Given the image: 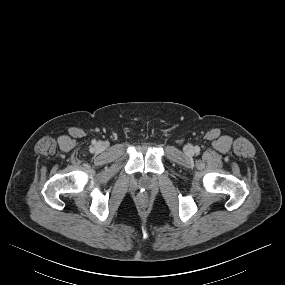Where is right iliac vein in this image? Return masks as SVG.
I'll list each match as a JSON object with an SVG mask.
<instances>
[{
  "label": "right iliac vein",
  "mask_w": 285,
  "mask_h": 285,
  "mask_svg": "<svg viewBox=\"0 0 285 285\" xmlns=\"http://www.w3.org/2000/svg\"><path fill=\"white\" fill-rule=\"evenodd\" d=\"M105 148H106V144L105 143H98L97 150L103 151Z\"/></svg>",
  "instance_id": "obj_1"
}]
</instances>
